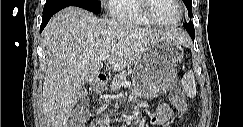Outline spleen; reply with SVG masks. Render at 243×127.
<instances>
[{"label":"spleen","mask_w":243,"mask_h":127,"mask_svg":"<svg viewBox=\"0 0 243 127\" xmlns=\"http://www.w3.org/2000/svg\"><path fill=\"white\" fill-rule=\"evenodd\" d=\"M182 88L187 96L194 98L196 96V83L193 71H188L182 78Z\"/></svg>","instance_id":"1"}]
</instances>
